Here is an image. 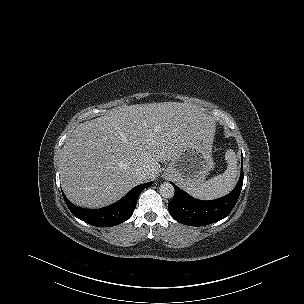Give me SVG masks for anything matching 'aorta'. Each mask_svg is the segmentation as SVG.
I'll return each mask as SVG.
<instances>
[{
    "label": "aorta",
    "instance_id": "obj_1",
    "mask_svg": "<svg viewBox=\"0 0 304 304\" xmlns=\"http://www.w3.org/2000/svg\"><path fill=\"white\" fill-rule=\"evenodd\" d=\"M159 193L162 197L170 199L174 197L175 189L171 183L164 182L159 187Z\"/></svg>",
    "mask_w": 304,
    "mask_h": 304
}]
</instances>
